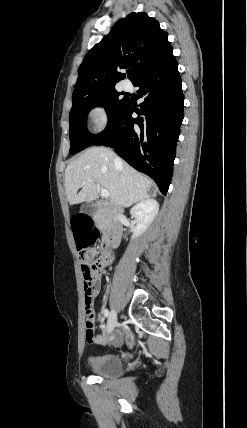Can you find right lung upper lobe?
<instances>
[{"label": "right lung upper lobe", "mask_w": 247, "mask_h": 428, "mask_svg": "<svg viewBox=\"0 0 247 428\" xmlns=\"http://www.w3.org/2000/svg\"><path fill=\"white\" fill-rule=\"evenodd\" d=\"M168 34L146 13H131L86 54L79 70L72 100L115 88L125 77L119 69L130 68L132 83L172 56Z\"/></svg>", "instance_id": "obj_1"}]
</instances>
